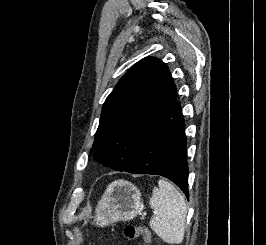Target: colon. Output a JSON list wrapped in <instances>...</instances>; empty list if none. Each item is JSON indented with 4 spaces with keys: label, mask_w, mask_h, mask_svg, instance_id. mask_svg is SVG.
<instances>
[{
    "label": "colon",
    "mask_w": 266,
    "mask_h": 245,
    "mask_svg": "<svg viewBox=\"0 0 266 245\" xmlns=\"http://www.w3.org/2000/svg\"><path fill=\"white\" fill-rule=\"evenodd\" d=\"M123 234L128 239H134L135 237L141 235L144 237V241L146 243H149L151 241V234L149 230L134 225H126L123 230Z\"/></svg>",
    "instance_id": "colon-1"
}]
</instances>
